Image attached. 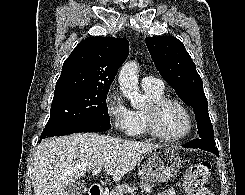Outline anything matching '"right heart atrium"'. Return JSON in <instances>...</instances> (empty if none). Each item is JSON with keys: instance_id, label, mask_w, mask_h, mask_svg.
<instances>
[{"instance_id": "obj_1", "label": "right heart atrium", "mask_w": 245, "mask_h": 195, "mask_svg": "<svg viewBox=\"0 0 245 195\" xmlns=\"http://www.w3.org/2000/svg\"><path fill=\"white\" fill-rule=\"evenodd\" d=\"M105 110L113 129L130 135L133 130V116L119 91L112 88L105 97Z\"/></svg>"}]
</instances>
